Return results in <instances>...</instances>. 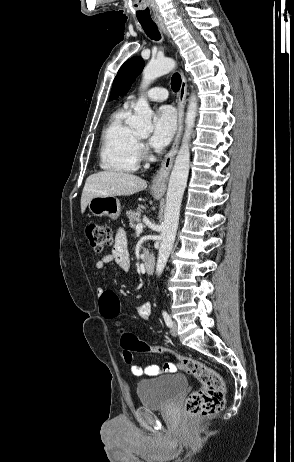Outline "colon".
I'll return each mask as SVG.
<instances>
[{
  "instance_id": "colon-1",
  "label": "colon",
  "mask_w": 294,
  "mask_h": 462,
  "mask_svg": "<svg viewBox=\"0 0 294 462\" xmlns=\"http://www.w3.org/2000/svg\"><path fill=\"white\" fill-rule=\"evenodd\" d=\"M85 234L91 248L98 253H101L113 242L110 227L97 222L86 223ZM120 308L119 298L114 291L105 290L101 294L100 310L103 317L119 325ZM120 343L123 349V359L127 363L132 361L133 352L170 354L164 348L142 341L125 330H120ZM174 357L177 364L188 374L194 376L202 385L200 389L192 392L186 399L185 411L187 415L197 418L220 412L225 403V383L220 374L199 360L182 356Z\"/></svg>"
}]
</instances>
